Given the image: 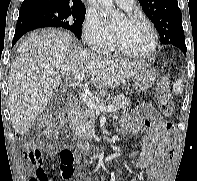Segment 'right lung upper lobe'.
Segmentation results:
<instances>
[{"label":"right lung upper lobe","instance_id":"1","mask_svg":"<svg viewBox=\"0 0 197 181\" xmlns=\"http://www.w3.org/2000/svg\"><path fill=\"white\" fill-rule=\"evenodd\" d=\"M35 5H52L59 7H72V8H84L81 0H24L21 5L22 10H26L29 7Z\"/></svg>","mask_w":197,"mask_h":181}]
</instances>
